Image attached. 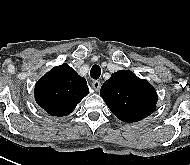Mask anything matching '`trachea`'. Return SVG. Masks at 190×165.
<instances>
[{"label":"trachea","instance_id":"obj_1","mask_svg":"<svg viewBox=\"0 0 190 165\" xmlns=\"http://www.w3.org/2000/svg\"><path fill=\"white\" fill-rule=\"evenodd\" d=\"M101 75V68L98 65H94L90 70V76L93 79H98Z\"/></svg>","mask_w":190,"mask_h":165}]
</instances>
